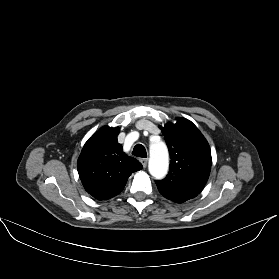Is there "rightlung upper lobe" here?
<instances>
[{
    "mask_svg": "<svg viewBox=\"0 0 279 279\" xmlns=\"http://www.w3.org/2000/svg\"><path fill=\"white\" fill-rule=\"evenodd\" d=\"M120 129L102 127L84 145L77 166L85 190L98 200L119 194L129 176L143 168L122 151L117 141Z\"/></svg>",
    "mask_w": 279,
    "mask_h": 279,
    "instance_id": "right-lung-upper-lobe-1",
    "label": "right lung upper lobe"
}]
</instances>
